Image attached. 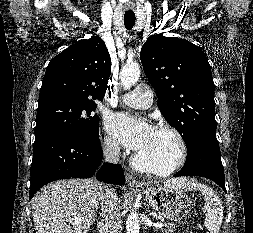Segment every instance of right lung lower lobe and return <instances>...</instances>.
Returning a JSON list of instances; mask_svg holds the SVG:
<instances>
[{
	"instance_id": "obj_1",
	"label": "right lung lower lobe",
	"mask_w": 253,
	"mask_h": 233,
	"mask_svg": "<svg viewBox=\"0 0 253 233\" xmlns=\"http://www.w3.org/2000/svg\"><path fill=\"white\" fill-rule=\"evenodd\" d=\"M99 137L84 140L63 132H43L35 137L30 170V199L44 185L58 179L90 178L123 185L125 177L119 164H104Z\"/></svg>"
}]
</instances>
